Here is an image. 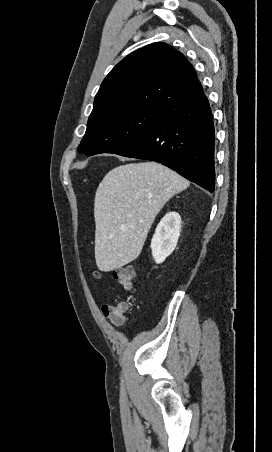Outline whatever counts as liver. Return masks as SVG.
Segmentation results:
<instances>
[{
	"instance_id": "1",
	"label": "liver",
	"mask_w": 272,
	"mask_h": 452,
	"mask_svg": "<svg viewBox=\"0 0 272 452\" xmlns=\"http://www.w3.org/2000/svg\"><path fill=\"white\" fill-rule=\"evenodd\" d=\"M189 184L156 162L130 163L109 171L94 200L98 269L109 272L134 261L157 214Z\"/></svg>"
}]
</instances>
